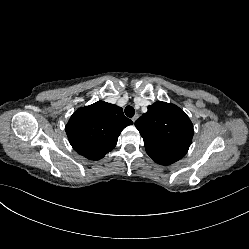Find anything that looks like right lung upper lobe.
I'll return each instance as SVG.
<instances>
[{
  "mask_svg": "<svg viewBox=\"0 0 249 249\" xmlns=\"http://www.w3.org/2000/svg\"><path fill=\"white\" fill-rule=\"evenodd\" d=\"M131 124L121 107L99 101L76 110L66 125V133L76 152L98 160L116 146L122 130Z\"/></svg>",
  "mask_w": 249,
  "mask_h": 249,
  "instance_id": "obj_1",
  "label": "right lung upper lobe"
}]
</instances>
